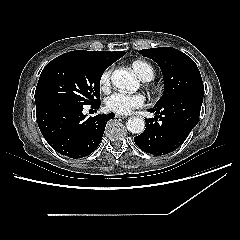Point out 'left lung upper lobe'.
<instances>
[{"label":"left lung upper lobe","instance_id":"1","mask_svg":"<svg viewBox=\"0 0 240 240\" xmlns=\"http://www.w3.org/2000/svg\"><path fill=\"white\" fill-rule=\"evenodd\" d=\"M139 53L154 60L163 73L164 93L154 107L162 106L179 94L204 89L197 65L183 52L171 47H160L143 49Z\"/></svg>","mask_w":240,"mask_h":240}]
</instances>
